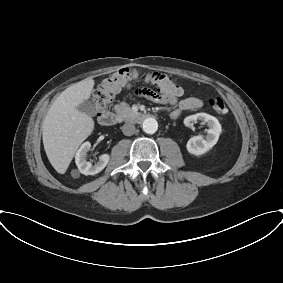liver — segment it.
Returning <instances> with one entry per match:
<instances>
[{"label":"liver","mask_w":283,"mask_h":283,"mask_svg":"<svg viewBox=\"0 0 283 283\" xmlns=\"http://www.w3.org/2000/svg\"><path fill=\"white\" fill-rule=\"evenodd\" d=\"M94 80L86 78L65 89L51 105L42 125L43 145L53 168L64 174L94 120L77 107L91 96Z\"/></svg>","instance_id":"1"}]
</instances>
